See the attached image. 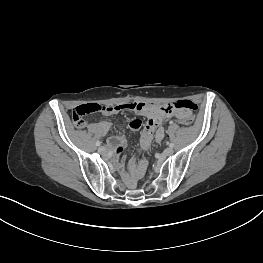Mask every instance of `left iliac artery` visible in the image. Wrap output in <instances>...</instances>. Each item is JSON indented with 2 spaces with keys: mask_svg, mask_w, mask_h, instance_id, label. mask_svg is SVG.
Here are the masks:
<instances>
[{
  "mask_svg": "<svg viewBox=\"0 0 263 263\" xmlns=\"http://www.w3.org/2000/svg\"><path fill=\"white\" fill-rule=\"evenodd\" d=\"M169 147H170V148H173V147H174V144H173V143H170V144H169Z\"/></svg>",
  "mask_w": 263,
  "mask_h": 263,
  "instance_id": "1",
  "label": "left iliac artery"
}]
</instances>
